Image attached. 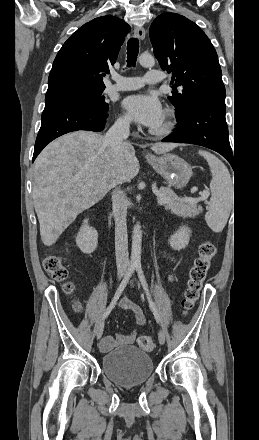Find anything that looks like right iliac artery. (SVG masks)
<instances>
[{
    "label": "right iliac artery",
    "mask_w": 259,
    "mask_h": 440,
    "mask_svg": "<svg viewBox=\"0 0 259 440\" xmlns=\"http://www.w3.org/2000/svg\"><path fill=\"white\" fill-rule=\"evenodd\" d=\"M135 267L136 266L134 264H131L129 266V268H128V270H127V272H126V274H125V276H124V278L122 280V282L120 283V285H119V287H118V289H117V291H116V293H115V295H114V297H113V299H112V301L110 303V305L107 307V309L105 310V312L103 314V318H102L103 320H105L108 317V315L110 314L112 309L115 307L116 302L119 299V297L121 296V294H122L123 290L125 289L128 281L130 280V278H131V276H132V274H133V272L135 270Z\"/></svg>",
    "instance_id": "obj_1"
}]
</instances>
